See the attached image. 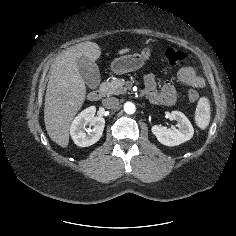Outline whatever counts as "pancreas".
<instances>
[{
	"label": "pancreas",
	"mask_w": 236,
	"mask_h": 236,
	"mask_svg": "<svg viewBox=\"0 0 236 236\" xmlns=\"http://www.w3.org/2000/svg\"><path fill=\"white\" fill-rule=\"evenodd\" d=\"M124 84V79H116L111 82H106L103 86L104 92L107 96L123 94L127 90Z\"/></svg>",
	"instance_id": "obj_1"
}]
</instances>
